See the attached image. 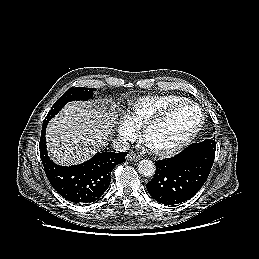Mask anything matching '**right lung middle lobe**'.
<instances>
[{
	"instance_id": "dd1d6c3e",
	"label": "right lung middle lobe",
	"mask_w": 259,
	"mask_h": 259,
	"mask_svg": "<svg viewBox=\"0 0 259 259\" xmlns=\"http://www.w3.org/2000/svg\"><path fill=\"white\" fill-rule=\"evenodd\" d=\"M94 89L95 88L71 87L63 96H61V98H59L54 103L51 110L45 117L44 122H49L62 109V107L66 103L74 100L86 101L92 98Z\"/></svg>"
}]
</instances>
